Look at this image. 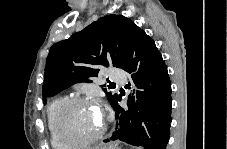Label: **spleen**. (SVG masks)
Wrapping results in <instances>:
<instances>
[{
  "instance_id": "spleen-1",
  "label": "spleen",
  "mask_w": 227,
  "mask_h": 149,
  "mask_svg": "<svg viewBox=\"0 0 227 149\" xmlns=\"http://www.w3.org/2000/svg\"><path fill=\"white\" fill-rule=\"evenodd\" d=\"M114 149H118L117 147H113Z\"/></svg>"
}]
</instances>
